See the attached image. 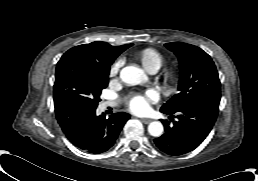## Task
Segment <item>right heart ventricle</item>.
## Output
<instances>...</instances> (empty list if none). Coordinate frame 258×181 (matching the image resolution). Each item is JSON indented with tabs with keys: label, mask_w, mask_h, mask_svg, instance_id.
Returning a JSON list of instances; mask_svg holds the SVG:
<instances>
[{
	"label": "right heart ventricle",
	"mask_w": 258,
	"mask_h": 181,
	"mask_svg": "<svg viewBox=\"0 0 258 181\" xmlns=\"http://www.w3.org/2000/svg\"><path fill=\"white\" fill-rule=\"evenodd\" d=\"M137 59L148 72L158 71L164 63V56L154 48H145L137 54Z\"/></svg>",
	"instance_id": "1"
}]
</instances>
